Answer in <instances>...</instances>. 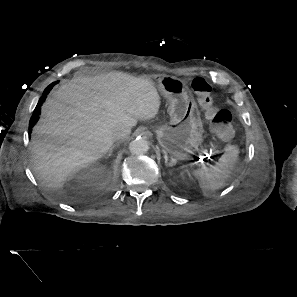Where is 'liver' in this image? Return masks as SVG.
Instances as JSON below:
<instances>
[{
    "instance_id": "obj_1",
    "label": "liver",
    "mask_w": 297,
    "mask_h": 297,
    "mask_svg": "<svg viewBox=\"0 0 297 297\" xmlns=\"http://www.w3.org/2000/svg\"><path fill=\"white\" fill-rule=\"evenodd\" d=\"M160 96L154 82L115 71L77 77L42 106L32 137L33 169L42 184L62 192L67 177L102 158L117 128L156 116Z\"/></svg>"
}]
</instances>
